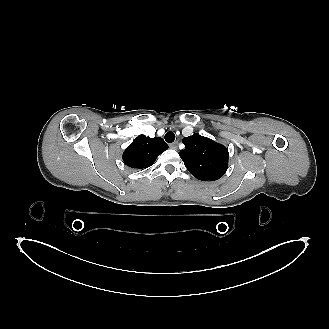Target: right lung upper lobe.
Listing matches in <instances>:
<instances>
[{"mask_svg": "<svg viewBox=\"0 0 329 329\" xmlns=\"http://www.w3.org/2000/svg\"><path fill=\"white\" fill-rule=\"evenodd\" d=\"M167 148L168 145L160 137L139 135L125 149L122 157L125 165L133 169H143L151 166Z\"/></svg>", "mask_w": 329, "mask_h": 329, "instance_id": "obj_1", "label": "right lung upper lobe"}]
</instances>
